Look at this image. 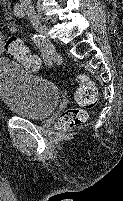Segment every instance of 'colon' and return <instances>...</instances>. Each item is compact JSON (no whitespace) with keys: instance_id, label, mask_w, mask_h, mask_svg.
<instances>
[{"instance_id":"5ec220e1","label":"colon","mask_w":123,"mask_h":201,"mask_svg":"<svg viewBox=\"0 0 123 201\" xmlns=\"http://www.w3.org/2000/svg\"><path fill=\"white\" fill-rule=\"evenodd\" d=\"M4 51L14 59L20 61L29 70H39L41 62L32 55L28 48L15 36H7L3 41ZM79 86L75 94L78 108H70L62 112L57 118V128L68 131L81 126L87 120V109L98 104L99 95L94 83L85 75L77 77Z\"/></svg>"}]
</instances>
